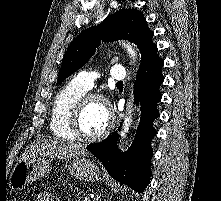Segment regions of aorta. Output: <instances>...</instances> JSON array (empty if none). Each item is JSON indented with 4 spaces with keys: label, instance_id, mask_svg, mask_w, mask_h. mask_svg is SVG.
Listing matches in <instances>:
<instances>
[{
    "label": "aorta",
    "instance_id": "1",
    "mask_svg": "<svg viewBox=\"0 0 221 201\" xmlns=\"http://www.w3.org/2000/svg\"><path fill=\"white\" fill-rule=\"evenodd\" d=\"M124 46L127 48L128 53L131 55V57H135V52L134 50L131 48V46H129L128 44L124 43ZM132 103L129 102V110H128V116L125 118L124 124H123V131L121 133V138H125L126 133H128L131 122H132Z\"/></svg>",
    "mask_w": 221,
    "mask_h": 201
}]
</instances>
